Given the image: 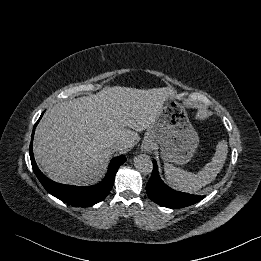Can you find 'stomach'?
Segmentation results:
<instances>
[{"mask_svg":"<svg viewBox=\"0 0 261 261\" xmlns=\"http://www.w3.org/2000/svg\"><path fill=\"white\" fill-rule=\"evenodd\" d=\"M198 144V134L190 123L186 109L173 95L165 98L154 122L147 129L142 148L160 146L164 161L183 165L193 157Z\"/></svg>","mask_w":261,"mask_h":261,"instance_id":"0dacf381","label":"stomach"}]
</instances>
